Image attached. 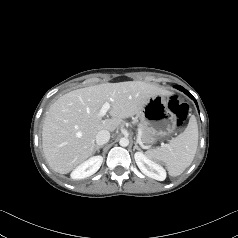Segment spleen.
Here are the masks:
<instances>
[{"label": "spleen", "instance_id": "spleen-1", "mask_svg": "<svg viewBox=\"0 0 238 238\" xmlns=\"http://www.w3.org/2000/svg\"><path fill=\"white\" fill-rule=\"evenodd\" d=\"M198 146V126L194 116L183 133L170 140L166 146L150 149L146 156L165 164L170 176H178L193 161Z\"/></svg>", "mask_w": 238, "mask_h": 238}]
</instances>
